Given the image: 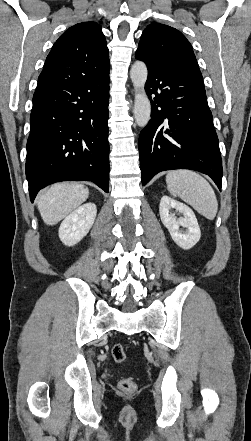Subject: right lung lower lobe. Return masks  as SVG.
<instances>
[{
    "label": "right lung lower lobe",
    "instance_id": "right-lung-lower-lobe-1",
    "mask_svg": "<svg viewBox=\"0 0 251 441\" xmlns=\"http://www.w3.org/2000/svg\"><path fill=\"white\" fill-rule=\"evenodd\" d=\"M109 69L78 80L39 82L33 96L26 178L31 202L45 186L92 181L109 191Z\"/></svg>",
    "mask_w": 251,
    "mask_h": 441
}]
</instances>
